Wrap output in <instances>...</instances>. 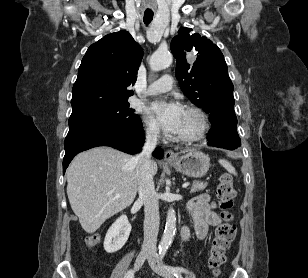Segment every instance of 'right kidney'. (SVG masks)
Masks as SVG:
<instances>
[{
	"mask_svg": "<svg viewBox=\"0 0 308 278\" xmlns=\"http://www.w3.org/2000/svg\"><path fill=\"white\" fill-rule=\"evenodd\" d=\"M131 232V225L126 215L120 216L109 228L104 240V249L107 253L120 250L127 242Z\"/></svg>",
	"mask_w": 308,
	"mask_h": 278,
	"instance_id": "1",
	"label": "right kidney"
}]
</instances>
